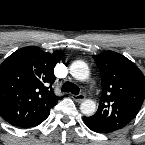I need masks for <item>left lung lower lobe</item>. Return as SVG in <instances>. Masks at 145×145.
Segmentation results:
<instances>
[{
    "label": "left lung lower lobe",
    "instance_id": "left-lung-lower-lobe-1",
    "mask_svg": "<svg viewBox=\"0 0 145 145\" xmlns=\"http://www.w3.org/2000/svg\"><path fill=\"white\" fill-rule=\"evenodd\" d=\"M83 119L87 127L91 129L92 131L97 132V133H110L109 131H106L98 126L93 125L87 117L84 116Z\"/></svg>",
    "mask_w": 145,
    "mask_h": 145
}]
</instances>
